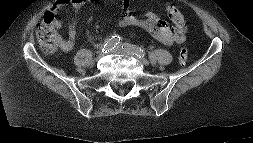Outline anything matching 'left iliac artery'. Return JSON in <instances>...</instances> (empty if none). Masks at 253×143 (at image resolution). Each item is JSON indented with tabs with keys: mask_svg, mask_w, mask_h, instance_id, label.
<instances>
[{
	"mask_svg": "<svg viewBox=\"0 0 253 143\" xmlns=\"http://www.w3.org/2000/svg\"><path fill=\"white\" fill-rule=\"evenodd\" d=\"M128 46H132L133 55H136V56L139 57V58L144 57L145 51H144L142 48H140V47H137V46H135V45H131V44H129V43H125V44H123L122 48L128 47Z\"/></svg>",
	"mask_w": 253,
	"mask_h": 143,
	"instance_id": "obj_1",
	"label": "left iliac artery"
}]
</instances>
